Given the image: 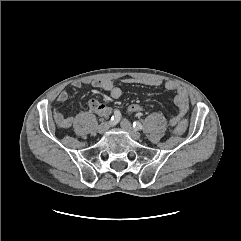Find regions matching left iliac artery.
Segmentation results:
<instances>
[{"label": "left iliac artery", "mask_w": 241, "mask_h": 241, "mask_svg": "<svg viewBox=\"0 0 241 241\" xmlns=\"http://www.w3.org/2000/svg\"><path fill=\"white\" fill-rule=\"evenodd\" d=\"M133 127H134L136 130H142V129H143V126H142V124H141L139 121H134V122H133Z\"/></svg>", "instance_id": "1"}]
</instances>
